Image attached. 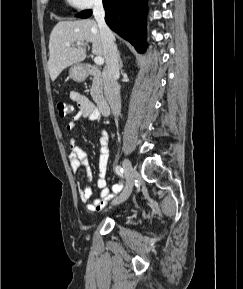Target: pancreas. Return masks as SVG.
I'll use <instances>...</instances> for the list:
<instances>
[{"label": "pancreas", "mask_w": 243, "mask_h": 289, "mask_svg": "<svg viewBox=\"0 0 243 289\" xmlns=\"http://www.w3.org/2000/svg\"><path fill=\"white\" fill-rule=\"evenodd\" d=\"M103 81L100 76V73H95L92 79V87L90 89V94L96 103L99 102L103 98Z\"/></svg>", "instance_id": "cf45deb5"}]
</instances>
